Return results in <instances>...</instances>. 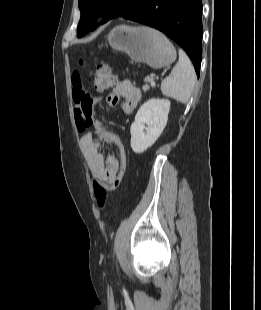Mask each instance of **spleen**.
I'll return each instance as SVG.
<instances>
[{"mask_svg": "<svg viewBox=\"0 0 261 310\" xmlns=\"http://www.w3.org/2000/svg\"><path fill=\"white\" fill-rule=\"evenodd\" d=\"M195 81L196 73L190 59L184 51L179 50L177 64L161 83L162 94L185 104L193 93Z\"/></svg>", "mask_w": 261, "mask_h": 310, "instance_id": "spleen-1", "label": "spleen"}]
</instances>
